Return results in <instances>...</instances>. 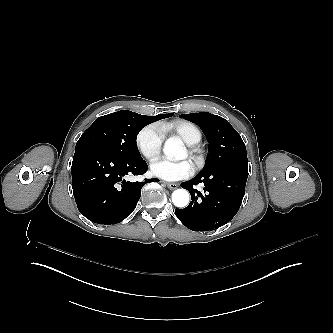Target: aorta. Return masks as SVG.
<instances>
[{
    "label": "aorta",
    "instance_id": "obj_1",
    "mask_svg": "<svg viewBox=\"0 0 333 333\" xmlns=\"http://www.w3.org/2000/svg\"><path fill=\"white\" fill-rule=\"evenodd\" d=\"M183 152L181 140L178 138H169L166 140L163 152L168 157H176L177 152ZM172 202L176 207H185L189 203V193L185 189H176L172 193Z\"/></svg>",
    "mask_w": 333,
    "mask_h": 333
}]
</instances>
